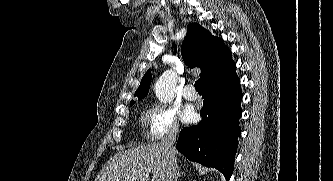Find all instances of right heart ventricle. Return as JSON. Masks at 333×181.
<instances>
[{
	"label": "right heart ventricle",
	"instance_id": "obj_1",
	"mask_svg": "<svg viewBox=\"0 0 333 181\" xmlns=\"http://www.w3.org/2000/svg\"><path fill=\"white\" fill-rule=\"evenodd\" d=\"M144 116L147 117V116H148V113L146 112V113L144 114Z\"/></svg>",
	"mask_w": 333,
	"mask_h": 181
}]
</instances>
